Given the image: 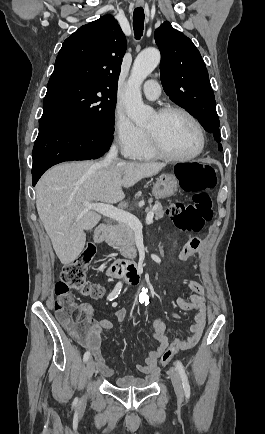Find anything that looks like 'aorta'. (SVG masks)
Here are the masks:
<instances>
[{
    "label": "aorta",
    "mask_w": 265,
    "mask_h": 434,
    "mask_svg": "<svg viewBox=\"0 0 265 434\" xmlns=\"http://www.w3.org/2000/svg\"><path fill=\"white\" fill-rule=\"evenodd\" d=\"M159 62V50H156V48H146V50L138 54L133 64L127 82L124 104L128 118L133 120L136 126H144L152 118V108L144 106L142 102L141 84L157 68Z\"/></svg>",
    "instance_id": "aorta-1"
}]
</instances>
